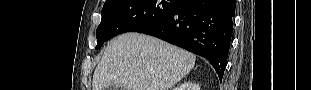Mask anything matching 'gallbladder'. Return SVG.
Returning <instances> with one entry per match:
<instances>
[{"label":"gallbladder","instance_id":"gallbladder-1","mask_svg":"<svg viewBox=\"0 0 311 90\" xmlns=\"http://www.w3.org/2000/svg\"><path fill=\"white\" fill-rule=\"evenodd\" d=\"M110 90H124L123 86H114L113 88H110Z\"/></svg>","mask_w":311,"mask_h":90}]
</instances>
